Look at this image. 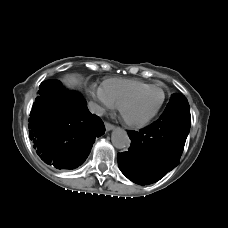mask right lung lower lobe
Here are the masks:
<instances>
[{
    "mask_svg": "<svg viewBox=\"0 0 228 228\" xmlns=\"http://www.w3.org/2000/svg\"><path fill=\"white\" fill-rule=\"evenodd\" d=\"M29 118V135L39 157L57 169H74L89 155L96 137L105 132L102 120L89 112L78 92L57 80L43 81Z\"/></svg>",
    "mask_w": 228,
    "mask_h": 228,
    "instance_id": "1",
    "label": "right lung lower lobe"
}]
</instances>
